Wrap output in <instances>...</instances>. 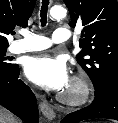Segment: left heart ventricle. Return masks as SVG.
Instances as JSON below:
<instances>
[{"label": "left heart ventricle", "mask_w": 118, "mask_h": 123, "mask_svg": "<svg viewBox=\"0 0 118 123\" xmlns=\"http://www.w3.org/2000/svg\"><path fill=\"white\" fill-rule=\"evenodd\" d=\"M68 90H69V88L67 87L65 91H68Z\"/></svg>", "instance_id": "1"}]
</instances>
